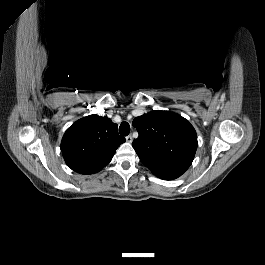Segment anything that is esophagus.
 I'll return each mask as SVG.
<instances>
[{
    "mask_svg": "<svg viewBox=\"0 0 265 265\" xmlns=\"http://www.w3.org/2000/svg\"><path fill=\"white\" fill-rule=\"evenodd\" d=\"M132 140H133V138H132L131 135H128V136L126 137V141H127L128 143H131Z\"/></svg>",
    "mask_w": 265,
    "mask_h": 265,
    "instance_id": "obj_1",
    "label": "esophagus"
}]
</instances>
